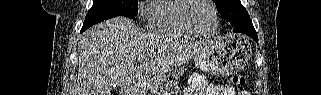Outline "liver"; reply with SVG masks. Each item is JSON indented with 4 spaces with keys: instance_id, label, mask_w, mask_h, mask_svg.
Returning <instances> with one entry per match:
<instances>
[{
    "instance_id": "liver-1",
    "label": "liver",
    "mask_w": 321,
    "mask_h": 95,
    "mask_svg": "<svg viewBox=\"0 0 321 95\" xmlns=\"http://www.w3.org/2000/svg\"><path fill=\"white\" fill-rule=\"evenodd\" d=\"M206 43L143 33L125 17L106 20L88 29L78 42L73 95H110L114 85L139 81L142 73L160 77L189 61Z\"/></svg>"
}]
</instances>
